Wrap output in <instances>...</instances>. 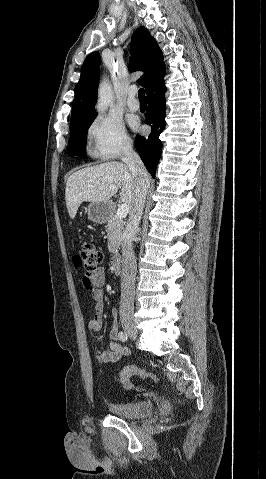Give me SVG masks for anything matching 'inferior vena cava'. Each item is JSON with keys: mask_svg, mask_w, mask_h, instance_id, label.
I'll return each instance as SVG.
<instances>
[{"mask_svg": "<svg viewBox=\"0 0 266 479\" xmlns=\"http://www.w3.org/2000/svg\"><path fill=\"white\" fill-rule=\"evenodd\" d=\"M122 161L128 166L136 181L135 204L130 210L122 243L121 301L119 314L121 320H126L133 318L134 314L137 264L132 241L138 231L146 195L150 187V178L139 155L133 150L130 143L124 147Z\"/></svg>", "mask_w": 266, "mask_h": 479, "instance_id": "inferior-vena-cava-1", "label": "inferior vena cava"}]
</instances>
